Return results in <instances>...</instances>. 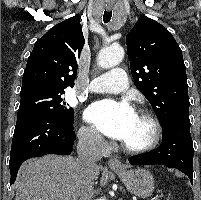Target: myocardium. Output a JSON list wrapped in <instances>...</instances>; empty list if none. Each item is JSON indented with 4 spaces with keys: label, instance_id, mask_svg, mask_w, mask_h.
<instances>
[{
    "label": "myocardium",
    "instance_id": "f54148a6",
    "mask_svg": "<svg viewBox=\"0 0 201 200\" xmlns=\"http://www.w3.org/2000/svg\"><path fill=\"white\" fill-rule=\"evenodd\" d=\"M136 114L146 118L151 123L153 127V135L147 144L139 147H131L122 142V149L131 154L146 153L155 149L160 143L163 134L162 124L153 112L145 108H139Z\"/></svg>",
    "mask_w": 201,
    "mask_h": 200
}]
</instances>
